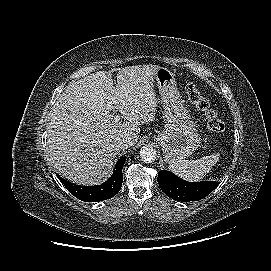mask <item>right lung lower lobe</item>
Instances as JSON below:
<instances>
[{
	"label": "right lung lower lobe",
	"instance_id": "obj_1",
	"mask_svg": "<svg viewBox=\"0 0 271 271\" xmlns=\"http://www.w3.org/2000/svg\"><path fill=\"white\" fill-rule=\"evenodd\" d=\"M125 160H126V157H121V159L118 160L110 179L101 185H96V186L76 185V184L70 183L67 180H64L58 174L56 175L61 181V183L64 184L65 188L76 198L85 202L103 201V200L112 198L119 192L122 186V182H123L122 169H123Z\"/></svg>",
	"mask_w": 271,
	"mask_h": 271
}]
</instances>
